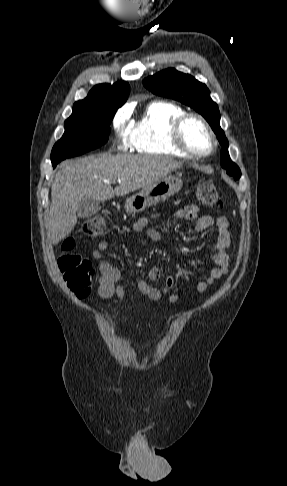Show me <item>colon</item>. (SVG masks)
Here are the masks:
<instances>
[{
  "label": "colon",
  "instance_id": "5ec220e1",
  "mask_svg": "<svg viewBox=\"0 0 287 486\" xmlns=\"http://www.w3.org/2000/svg\"><path fill=\"white\" fill-rule=\"evenodd\" d=\"M197 195L200 202L207 207L214 210L222 208V199L215 184L209 178H201L198 181ZM105 227V220L100 216H94L84 221L82 232L87 236L97 237L104 232ZM74 246L73 239L64 242L63 252L58 258V266L69 289L78 298H85L92 290L95 270L88 260L73 252Z\"/></svg>",
  "mask_w": 287,
  "mask_h": 486
}]
</instances>
